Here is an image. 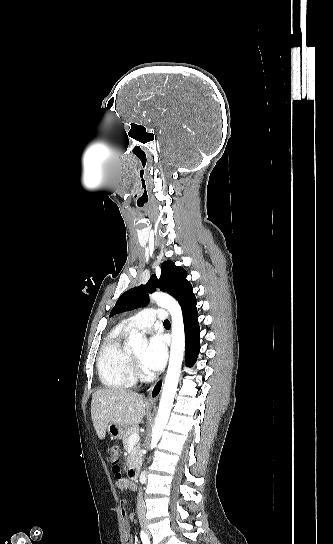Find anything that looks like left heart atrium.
Listing matches in <instances>:
<instances>
[{"instance_id": "39dd6f15", "label": "left heart atrium", "mask_w": 333, "mask_h": 544, "mask_svg": "<svg viewBox=\"0 0 333 544\" xmlns=\"http://www.w3.org/2000/svg\"><path fill=\"white\" fill-rule=\"evenodd\" d=\"M167 359L165 339L160 334H154L142 356V364L146 370L156 372L161 370Z\"/></svg>"}]
</instances>
